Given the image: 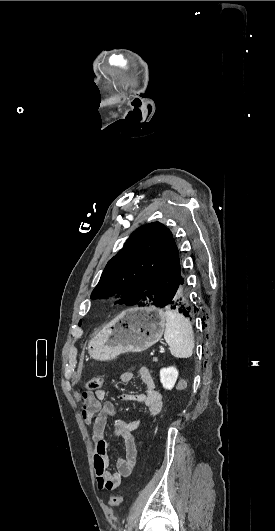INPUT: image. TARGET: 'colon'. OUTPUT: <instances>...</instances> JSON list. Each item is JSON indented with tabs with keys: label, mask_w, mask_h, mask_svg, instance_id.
<instances>
[{
	"label": "colon",
	"mask_w": 275,
	"mask_h": 531,
	"mask_svg": "<svg viewBox=\"0 0 275 531\" xmlns=\"http://www.w3.org/2000/svg\"><path fill=\"white\" fill-rule=\"evenodd\" d=\"M103 376L98 375L90 378L86 384V389L88 392H96L99 391L102 388L103 385ZM150 432V429L148 427H145L143 430H141L140 435L143 438L148 437ZM139 446H142V442H139ZM124 500L123 494H116L110 497L109 504L111 507L116 508L122 504Z\"/></svg>",
	"instance_id": "colon-1"
}]
</instances>
